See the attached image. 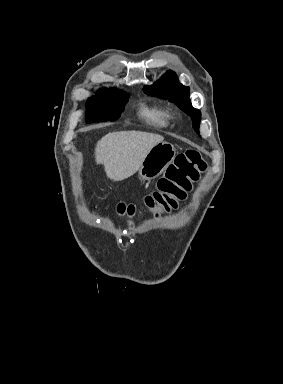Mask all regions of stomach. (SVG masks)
I'll use <instances>...</instances> for the list:
<instances>
[{
    "label": "stomach",
    "instance_id": "stomach-1",
    "mask_svg": "<svg viewBox=\"0 0 283 384\" xmlns=\"http://www.w3.org/2000/svg\"><path fill=\"white\" fill-rule=\"evenodd\" d=\"M176 150L168 142H159L146 154L138 172L140 180H154L173 162Z\"/></svg>",
    "mask_w": 283,
    "mask_h": 384
}]
</instances>
